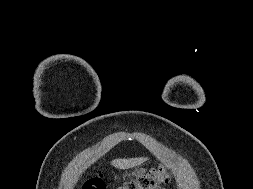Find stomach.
I'll return each mask as SVG.
<instances>
[{"label": "stomach", "instance_id": "1", "mask_svg": "<svg viewBox=\"0 0 253 189\" xmlns=\"http://www.w3.org/2000/svg\"><path fill=\"white\" fill-rule=\"evenodd\" d=\"M140 171L142 172V171H144V169H141ZM140 171L133 172V173H132V176H135L136 173H139Z\"/></svg>", "mask_w": 253, "mask_h": 189}]
</instances>
